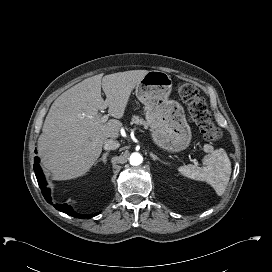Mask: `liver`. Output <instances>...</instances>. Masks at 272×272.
<instances>
[{
	"label": "liver",
	"mask_w": 272,
	"mask_h": 272,
	"mask_svg": "<svg viewBox=\"0 0 272 272\" xmlns=\"http://www.w3.org/2000/svg\"><path fill=\"white\" fill-rule=\"evenodd\" d=\"M147 70L89 77L62 93L52 104L38 138L43 166L54 180L86 174L102 152L107 139H117L131 92ZM101 87L106 95L101 97ZM108 107L116 118L102 122L99 110Z\"/></svg>",
	"instance_id": "1"
}]
</instances>
